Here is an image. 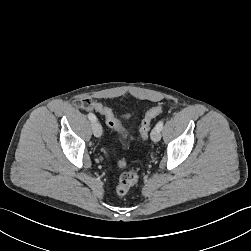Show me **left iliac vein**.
<instances>
[{
	"mask_svg": "<svg viewBox=\"0 0 251 251\" xmlns=\"http://www.w3.org/2000/svg\"><path fill=\"white\" fill-rule=\"evenodd\" d=\"M151 139L154 142H158L161 139V133L160 130H158L156 127L151 132Z\"/></svg>",
	"mask_w": 251,
	"mask_h": 251,
	"instance_id": "obj_1",
	"label": "left iliac vein"
}]
</instances>
